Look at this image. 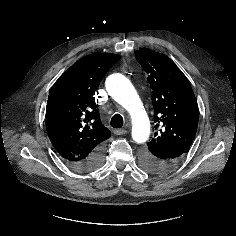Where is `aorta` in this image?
Instances as JSON below:
<instances>
[{"instance_id":"obj_1","label":"aorta","mask_w":236,"mask_h":236,"mask_svg":"<svg viewBox=\"0 0 236 236\" xmlns=\"http://www.w3.org/2000/svg\"><path fill=\"white\" fill-rule=\"evenodd\" d=\"M109 95L130 114L132 138L136 143H144L150 135V122L141 99L132 83L122 74L110 75L105 82Z\"/></svg>"}]
</instances>
